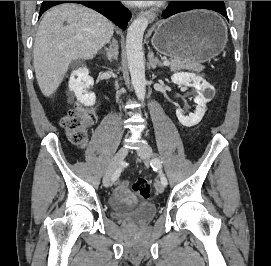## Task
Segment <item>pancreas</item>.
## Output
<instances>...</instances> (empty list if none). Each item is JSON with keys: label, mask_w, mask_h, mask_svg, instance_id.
<instances>
[{"label": "pancreas", "mask_w": 271, "mask_h": 266, "mask_svg": "<svg viewBox=\"0 0 271 266\" xmlns=\"http://www.w3.org/2000/svg\"><path fill=\"white\" fill-rule=\"evenodd\" d=\"M169 68L172 71H177L181 69H189L195 72H202L204 70V66L199 63H192V62L183 61L179 59H171Z\"/></svg>", "instance_id": "pancreas-1"}]
</instances>
